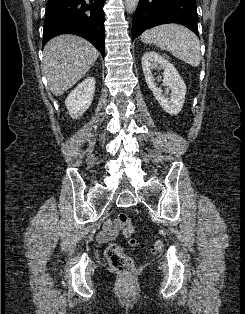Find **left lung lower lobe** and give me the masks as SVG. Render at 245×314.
Masks as SVG:
<instances>
[{"mask_svg":"<svg viewBox=\"0 0 245 314\" xmlns=\"http://www.w3.org/2000/svg\"><path fill=\"white\" fill-rule=\"evenodd\" d=\"M167 23H178L198 35L195 0H139L133 18L132 40L146 29Z\"/></svg>","mask_w":245,"mask_h":314,"instance_id":"0a47b994","label":"left lung lower lobe"}]
</instances>
